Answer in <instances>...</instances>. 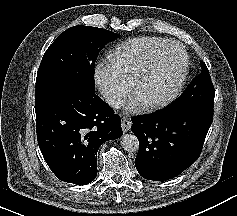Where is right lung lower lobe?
Listing matches in <instances>:
<instances>
[{
    "mask_svg": "<svg viewBox=\"0 0 237 216\" xmlns=\"http://www.w3.org/2000/svg\"><path fill=\"white\" fill-rule=\"evenodd\" d=\"M35 112L38 145L52 172L64 182H92L99 146L122 135L119 116L83 86L59 92Z\"/></svg>",
    "mask_w": 237,
    "mask_h": 216,
    "instance_id": "1",
    "label": "right lung lower lobe"
}]
</instances>
